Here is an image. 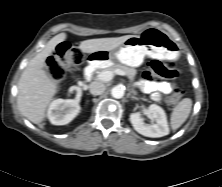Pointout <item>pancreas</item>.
<instances>
[{"label":"pancreas","mask_w":222,"mask_h":187,"mask_svg":"<svg viewBox=\"0 0 222 187\" xmlns=\"http://www.w3.org/2000/svg\"><path fill=\"white\" fill-rule=\"evenodd\" d=\"M122 70L125 75L130 79L131 82H133L135 75H136V70L134 68H130L127 67L125 65H121V64H112L111 66H108L104 69V71H111L114 72L115 70ZM134 94H137V92L135 90H133ZM143 100H146L144 98H142Z\"/></svg>","instance_id":"1"}]
</instances>
